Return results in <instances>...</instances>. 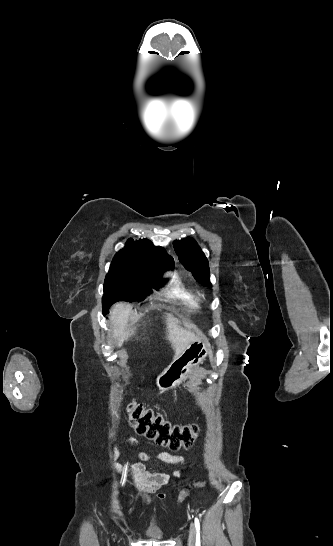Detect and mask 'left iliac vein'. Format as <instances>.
<instances>
[{"mask_svg":"<svg viewBox=\"0 0 333 546\" xmlns=\"http://www.w3.org/2000/svg\"><path fill=\"white\" fill-rule=\"evenodd\" d=\"M196 542V530L193 524L190 526L188 546H195Z\"/></svg>","mask_w":333,"mask_h":546,"instance_id":"obj_1","label":"left iliac vein"}]
</instances>
